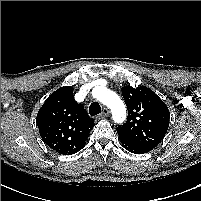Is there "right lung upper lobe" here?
Wrapping results in <instances>:
<instances>
[{
    "mask_svg": "<svg viewBox=\"0 0 201 201\" xmlns=\"http://www.w3.org/2000/svg\"><path fill=\"white\" fill-rule=\"evenodd\" d=\"M36 122L44 143L64 155L80 151L94 127L93 119L73 99L70 86L57 89L47 98Z\"/></svg>",
    "mask_w": 201,
    "mask_h": 201,
    "instance_id": "cb5924a9",
    "label": "right lung upper lobe"
}]
</instances>
